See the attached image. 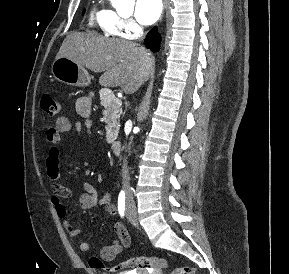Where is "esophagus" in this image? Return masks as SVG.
<instances>
[{"label": "esophagus", "mask_w": 289, "mask_h": 274, "mask_svg": "<svg viewBox=\"0 0 289 274\" xmlns=\"http://www.w3.org/2000/svg\"><path fill=\"white\" fill-rule=\"evenodd\" d=\"M164 9H165V12L168 9V0H164Z\"/></svg>", "instance_id": "1"}]
</instances>
